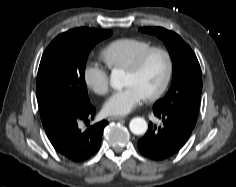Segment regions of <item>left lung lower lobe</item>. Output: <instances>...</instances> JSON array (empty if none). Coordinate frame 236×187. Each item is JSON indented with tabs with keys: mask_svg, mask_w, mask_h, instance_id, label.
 I'll list each match as a JSON object with an SVG mask.
<instances>
[{
	"mask_svg": "<svg viewBox=\"0 0 236 187\" xmlns=\"http://www.w3.org/2000/svg\"><path fill=\"white\" fill-rule=\"evenodd\" d=\"M153 112L155 116L162 119L163 126L156 128L150 123V129L138 141V149L152 160H163L182 148L197 120L173 111L153 108Z\"/></svg>",
	"mask_w": 236,
	"mask_h": 187,
	"instance_id": "obj_1",
	"label": "left lung lower lobe"
}]
</instances>
